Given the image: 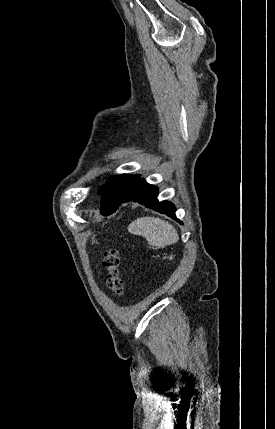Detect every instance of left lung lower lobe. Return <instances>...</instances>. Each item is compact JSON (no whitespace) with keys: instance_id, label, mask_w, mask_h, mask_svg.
Instances as JSON below:
<instances>
[{"instance_id":"left-lung-lower-lobe-1","label":"left lung lower lobe","mask_w":275,"mask_h":429,"mask_svg":"<svg viewBox=\"0 0 275 429\" xmlns=\"http://www.w3.org/2000/svg\"><path fill=\"white\" fill-rule=\"evenodd\" d=\"M158 189L157 187L150 185L143 178H139L124 195L122 203L133 201L144 205L147 208L153 209L162 214L176 219L174 205L167 201L159 202L157 199Z\"/></svg>"}]
</instances>
